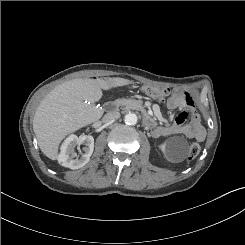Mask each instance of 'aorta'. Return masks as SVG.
Here are the masks:
<instances>
[{
	"label": "aorta",
	"mask_w": 245,
	"mask_h": 245,
	"mask_svg": "<svg viewBox=\"0 0 245 245\" xmlns=\"http://www.w3.org/2000/svg\"><path fill=\"white\" fill-rule=\"evenodd\" d=\"M137 115L135 113H128L124 116V122L127 125H135L137 123Z\"/></svg>",
	"instance_id": "obj_1"
}]
</instances>
